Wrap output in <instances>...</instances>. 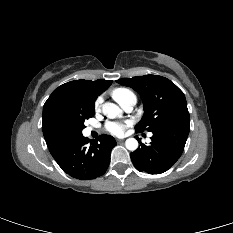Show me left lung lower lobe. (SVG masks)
I'll list each match as a JSON object with an SVG mask.
<instances>
[{
  "label": "left lung lower lobe",
  "mask_w": 233,
  "mask_h": 233,
  "mask_svg": "<svg viewBox=\"0 0 233 233\" xmlns=\"http://www.w3.org/2000/svg\"><path fill=\"white\" fill-rule=\"evenodd\" d=\"M190 124H179L152 132L151 144H142L130 154L135 168L149 174H161L171 168L181 156Z\"/></svg>",
  "instance_id": "obj_1"
}]
</instances>
